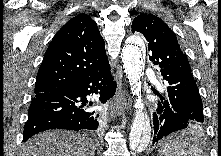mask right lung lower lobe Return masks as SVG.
Here are the masks:
<instances>
[{"instance_id":"right-lung-lower-lobe-1","label":"right lung lower lobe","mask_w":221,"mask_h":156,"mask_svg":"<svg viewBox=\"0 0 221 156\" xmlns=\"http://www.w3.org/2000/svg\"><path fill=\"white\" fill-rule=\"evenodd\" d=\"M115 91L116 82L108 64L62 91L36 94L28 111L23 141L48 129L96 130L99 114L89 110L92 102L87 96L95 93L105 103Z\"/></svg>"}]
</instances>
